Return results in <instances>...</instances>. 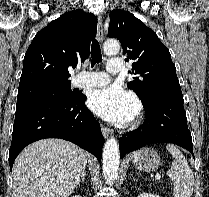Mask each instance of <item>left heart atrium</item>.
Listing matches in <instances>:
<instances>
[{
	"mask_svg": "<svg viewBox=\"0 0 209 197\" xmlns=\"http://www.w3.org/2000/svg\"><path fill=\"white\" fill-rule=\"evenodd\" d=\"M88 104L98 116L118 125L131 122L137 113L135 98L118 86L95 90L90 95Z\"/></svg>",
	"mask_w": 209,
	"mask_h": 197,
	"instance_id": "1",
	"label": "left heart atrium"
}]
</instances>
